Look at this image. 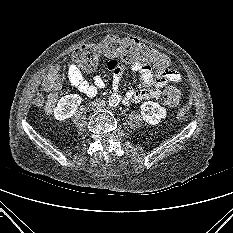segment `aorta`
<instances>
[{"instance_id": "obj_1", "label": "aorta", "mask_w": 233, "mask_h": 233, "mask_svg": "<svg viewBox=\"0 0 233 233\" xmlns=\"http://www.w3.org/2000/svg\"><path fill=\"white\" fill-rule=\"evenodd\" d=\"M119 96L116 95V94H113L109 97V105L112 106V107H115L119 104Z\"/></svg>"}]
</instances>
